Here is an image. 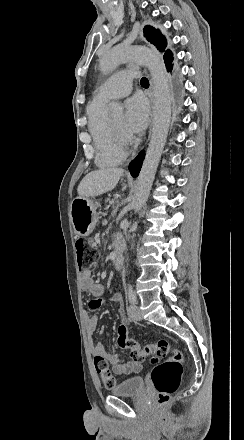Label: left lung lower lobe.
Segmentation results:
<instances>
[{
	"label": "left lung lower lobe",
	"instance_id": "obj_1",
	"mask_svg": "<svg viewBox=\"0 0 244 440\" xmlns=\"http://www.w3.org/2000/svg\"><path fill=\"white\" fill-rule=\"evenodd\" d=\"M167 70L172 71L173 64L172 61L166 64ZM171 91H172V98H173V104L176 110V119L179 118V110L182 107L183 103V93H184V85L182 81L181 72L177 70L172 73L171 77Z\"/></svg>",
	"mask_w": 244,
	"mask_h": 440
}]
</instances>
